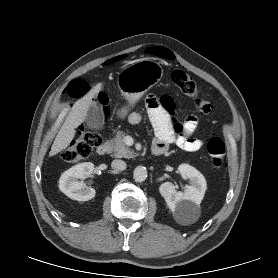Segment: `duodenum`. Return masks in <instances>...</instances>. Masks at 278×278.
Listing matches in <instances>:
<instances>
[{
	"instance_id": "1",
	"label": "duodenum",
	"mask_w": 278,
	"mask_h": 278,
	"mask_svg": "<svg viewBox=\"0 0 278 278\" xmlns=\"http://www.w3.org/2000/svg\"><path fill=\"white\" fill-rule=\"evenodd\" d=\"M111 144L109 141H105L101 143L97 148V154L103 156L110 151ZM164 149L160 146H153L152 147V154L155 156L162 155L164 153Z\"/></svg>"
}]
</instances>
